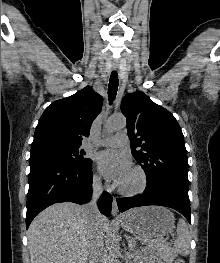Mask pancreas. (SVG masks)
Segmentation results:
<instances>
[{
    "instance_id": "cf45deb5",
    "label": "pancreas",
    "mask_w": 220,
    "mask_h": 263,
    "mask_svg": "<svg viewBox=\"0 0 220 263\" xmlns=\"http://www.w3.org/2000/svg\"><path fill=\"white\" fill-rule=\"evenodd\" d=\"M153 249L157 254L162 258L166 263H171L175 257V254L171 250V247L168 244H164L159 241L153 243Z\"/></svg>"
}]
</instances>
